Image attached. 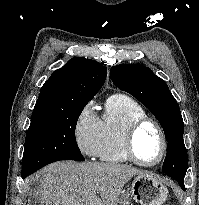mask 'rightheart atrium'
Here are the masks:
<instances>
[{"instance_id": "1", "label": "right heart atrium", "mask_w": 199, "mask_h": 205, "mask_svg": "<svg viewBox=\"0 0 199 205\" xmlns=\"http://www.w3.org/2000/svg\"><path fill=\"white\" fill-rule=\"evenodd\" d=\"M99 122L93 110V102L84 106L76 120L75 142L80 152L87 157L97 155Z\"/></svg>"}]
</instances>
